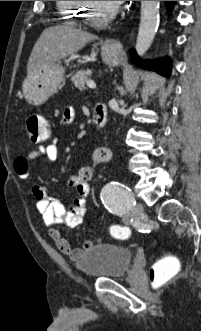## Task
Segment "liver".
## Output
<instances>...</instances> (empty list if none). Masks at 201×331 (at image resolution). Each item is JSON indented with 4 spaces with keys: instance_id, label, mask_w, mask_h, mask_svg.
<instances>
[{
    "instance_id": "liver-1",
    "label": "liver",
    "mask_w": 201,
    "mask_h": 331,
    "mask_svg": "<svg viewBox=\"0 0 201 331\" xmlns=\"http://www.w3.org/2000/svg\"><path fill=\"white\" fill-rule=\"evenodd\" d=\"M97 36L70 25L46 28L34 45L27 64V74L37 73L42 68L60 62L79 50Z\"/></svg>"
}]
</instances>
